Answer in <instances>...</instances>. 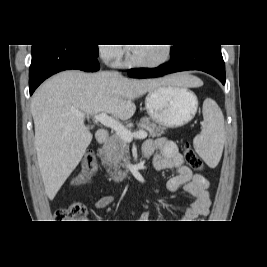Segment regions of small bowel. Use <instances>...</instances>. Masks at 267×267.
<instances>
[{"mask_svg":"<svg viewBox=\"0 0 267 267\" xmlns=\"http://www.w3.org/2000/svg\"><path fill=\"white\" fill-rule=\"evenodd\" d=\"M143 155L153 157V165L157 171L174 170V175L166 185L169 192H177L183 189L194 197V202L185 211L182 222H190L198 215L208 212L210 207L209 180L201 174L193 173L184 164L183 157L173 141L166 138L146 140L143 144ZM113 201V196H103L96 202V207L98 209L105 208ZM139 221L151 222L150 212H143L139 216Z\"/></svg>","mask_w":267,"mask_h":267,"instance_id":"obj_1","label":"small bowel"}]
</instances>
